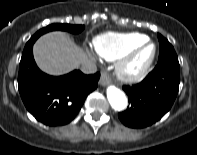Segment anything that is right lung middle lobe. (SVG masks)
<instances>
[{
	"instance_id": "dd1d6c3e",
	"label": "right lung middle lobe",
	"mask_w": 197,
	"mask_h": 155,
	"mask_svg": "<svg viewBox=\"0 0 197 155\" xmlns=\"http://www.w3.org/2000/svg\"><path fill=\"white\" fill-rule=\"evenodd\" d=\"M84 29V25H70V24H51L43 29H40L38 32H36L30 40L26 43V46H29L30 44H33L41 35L53 31V30H62V31H68L73 34H78Z\"/></svg>"
}]
</instances>
